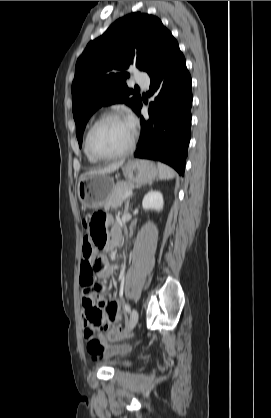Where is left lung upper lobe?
<instances>
[{"instance_id": "1", "label": "left lung upper lobe", "mask_w": 271, "mask_h": 418, "mask_svg": "<svg viewBox=\"0 0 271 418\" xmlns=\"http://www.w3.org/2000/svg\"><path fill=\"white\" fill-rule=\"evenodd\" d=\"M171 32L153 15L130 13L88 43L78 58L72 83L73 116L79 146L90 116L102 105L125 103L135 112L141 96L125 84L127 69L149 73L160 60Z\"/></svg>"}]
</instances>
